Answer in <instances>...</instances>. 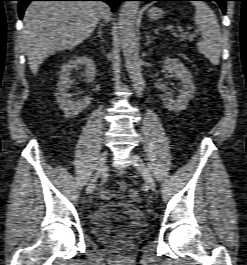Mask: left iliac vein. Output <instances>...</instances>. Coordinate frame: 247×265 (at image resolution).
<instances>
[{
	"instance_id": "left-iliac-vein-1",
	"label": "left iliac vein",
	"mask_w": 247,
	"mask_h": 265,
	"mask_svg": "<svg viewBox=\"0 0 247 265\" xmlns=\"http://www.w3.org/2000/svg\"><path fill=\"white\" fill-rule=\"evenodd\" d=\"M131 158L135 161L134 166L137 171L143 176L146 185L151 190H155L156 185L149 168L145 165V163L140 159L138 155L131 153Z\"/></svg>"
}]
</instances>
